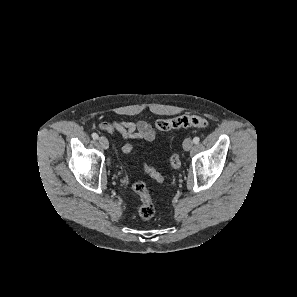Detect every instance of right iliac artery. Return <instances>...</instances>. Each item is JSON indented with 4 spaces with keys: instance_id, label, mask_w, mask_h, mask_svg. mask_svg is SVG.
<instances>
[{
    "instance_id": "1",
    "label": "right iliac artery",
    "mask_w": 297,
    "mask_h": 297,
    "mask_svg": "<svg viewBox=\"0 0 297 297\" xmlns=\"http://www.w3.org/2000/svg\"><path fill=\"white\" fill-rule=\"evenodd\" d=\"M92 138L94 139V140H97L98 139V134L97 133H92Z\"/></svg>"
}]
</instances>
